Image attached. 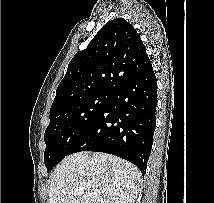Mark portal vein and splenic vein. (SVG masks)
<instances>
[{
  "mask_svg": "<svg viewBox=\"0 0 214 203\" xmlns=\"http://www.w3.org/2000/svg\"><path fill=\"white\" fill-rule=\"evenodd\" d=\"M74 192L75 194L81 195L83 194V189H75Z\"/></svg>",
  "mask_w": 214,
  "mask_h": 203,
  "instance_id": "1",
  "label": "portal vein and splenic vein"
}]
</instances>
